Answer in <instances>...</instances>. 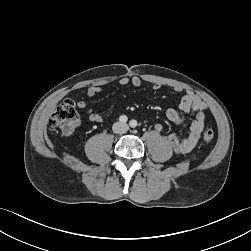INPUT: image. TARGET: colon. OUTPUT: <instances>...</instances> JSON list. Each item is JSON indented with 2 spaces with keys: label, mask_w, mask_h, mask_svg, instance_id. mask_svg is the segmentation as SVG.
Returning a JSON list of instances; mask_svg holds the SVG:
<instances>
[{
  "label": "colon",
  "mask_w": 251,
  "mask_h": 251,
  "mask_svg": "<svg viewBox=\"0 0 251 251\" xmlns=\"http://www.w3.org/2000/svg\"><path fill=\"white\" fill-rule=\"evenodd\" d=\"M79 124V117L76 103L73 99H66L53 112L50 118V126L58 128L67 134L75 132ZM203 139L206 143L214 140V132L211 129H205Z\"/></svg>",
  "instance_id": "1"
}]
</instances>
